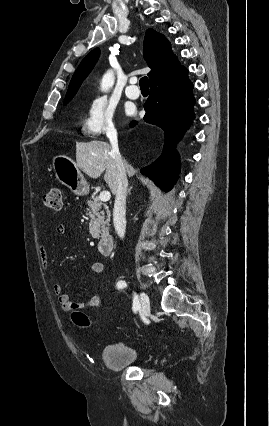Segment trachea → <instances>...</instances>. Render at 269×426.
I'll use <instances>...</instances> for the list:
<instances>
[{
  "mask_svg": "<svg viewBox=\"0 0 269 426\" xmlns=\"http://www.w3.org/2000/svg\"><path fill=\"white\" fill-rule=\"evenodd\" d=\"M139 85H140V88L148 89L149 88L148 78L146 76L142 77L139 81Z\"/></svg>",
  "mask_w": 269,
  "mask_h": 426,
  "instance_id": "trachea-1",
  "label": "trachea"
}]
</instances>
